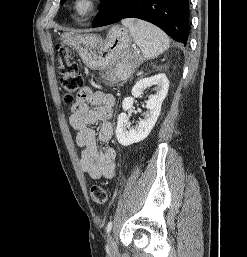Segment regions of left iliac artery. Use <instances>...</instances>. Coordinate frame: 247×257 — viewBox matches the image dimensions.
Here are the masks:
<instances>
[{
    "mask_svg": "<svg viewBox=\"0 0 247 257\" xmlns=\"http://www.w3.org/2000/svg\"><path fill=\"white\" fill-rule=\"evenodd\" d=\"M112 225H113V222H112V221H110V222L107 224V227H106V232H107V234L110 233V231H111V229H112Z\"/></svg>",
    "mask_w": 247,
    "mask_h": 257,
    "instance_id": "44dca946",
    "label": "left iliac artery"
}]
</instances>
